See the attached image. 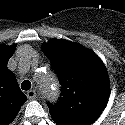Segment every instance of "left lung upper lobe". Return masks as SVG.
Segmentation results:
<instances>
[{
    "label": "left lung upper lobe",
    "mask_w": 125,
    "mask_h": 125,
    "mask_svg": "<svg viewBox=\"0 0 125 125\" xmlns=\"http://www.w3.org/2000/svg\"><path fill=\"white\" fill-rule=\"evenodd\" d=\"M61 84V97L48 103L58 125H90L104 110L110 93L106 67L82 45L54 39L42 46Z\"/></svg>",
    "instance_id": "5c2ea615"
}]
</instances>
